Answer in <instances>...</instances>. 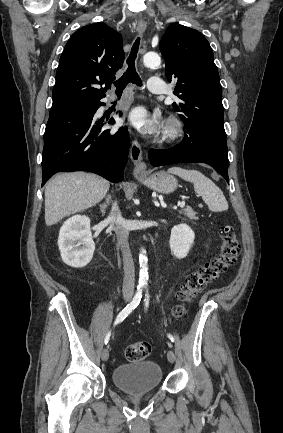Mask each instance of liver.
<instances>
[{
	"mask_svg": "<svg viewBox=\"0 0 283 433\" xmlns=\"http://www.w3.org/2000/svg\"><path fill=\"white\" fill-rule=\"evenodd\" d=\"M109 186V180L90 172L56 174L45 188L46 225H56L69 214L95 206Z\"/></svg>",
	"mask_w": 283,
	"mask_h": 433,
	"instance_id": "liver-1",
	"label": "liver"
}]
</instances>
